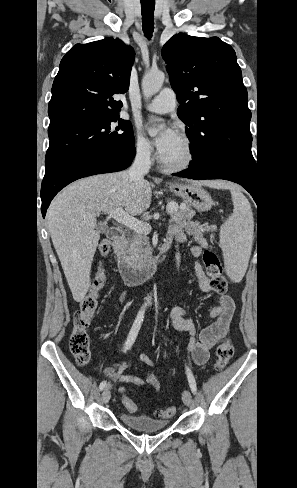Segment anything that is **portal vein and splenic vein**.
<instances>
[{
	"label": "portal vein and splenic vein",
	"mask_w": 297,
	"mask_h": 488,
	"mask_svg": "<svg viewBox=\"0 0 297 488\" xmlns=\"http://www.w3.org/2000/svg\"><path fill=\"white\" fill-rule=\"evenodd\" d=\"M176 208L177 207L175 204L170 203L166 206V211L167 213H170L171 211L176 210ZM107 214L112 218H114L120 224L127 226L128 228L134 230L135 232L149 233L151 231V226L149 223L142 222L134 218L133 216L127 214L122 207L109 210Z\"/></svg>",
	"instance_id": "18ae733b"
}]
</instances>
